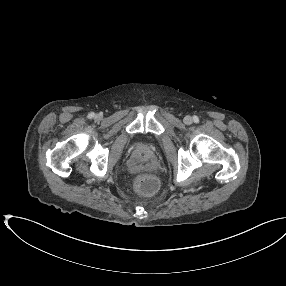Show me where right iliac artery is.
I'll return each instance as SVG.
<instances>
[{"instance_id": "82829eb1", "label": "right iliac artery", "mask_w": 286, "mask_h": 286, "mask_svg": "<svg viewBox=\"0 0 286 286\" xmlns=\"http://www.w3.org/2000/svg\"><path fill=\"white\" fill-rule=\"evenodd\" d=\"M94 116H95V114H94L93 112H91V113L88 114V117H89V118H93Z\"/></svg>"}]
</instances>
